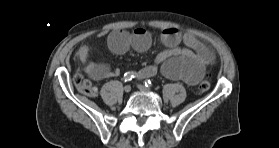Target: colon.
I'll return each mask as SVG.
<instances>
[{"label": "colon", "mask_w": 279, "mask_h": 148, "mask_svg": "<svg viewBox=\"0 0 279 148\" xmlns=\"http://www.w3.org/2000/svg\"><path fill=\"white\" fill-rule=\"evenodd\" d=\"M74 84L77 90L87 96H95L97 94V89L92 85V83L85 79L82 75L76 74L74 76ZM211 82L208 78L203 79L196 87V92L202 94L210 89Z\"/></svg>", "instance_id": "1"}]
</instances>
